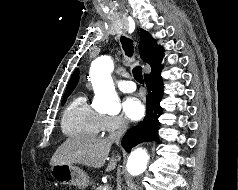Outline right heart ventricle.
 <instances>
[{
	"label": "right heart ventricle",
	"instance_id": "obj_1",
	"mask_svg": "<svg viewBox=\"0 0 238 190\" xmlns=\"http://www.w3.org/2000/svg\"><path fill=\"white\" fill-rule=\"evenodd\" d=\"M103 115L94 110L83 94L76 95L62 117V131L68 136L95 137L102 131Z\"/></svg>",
	"mask_w": 238,
	"mask_h": 190
}]
</instances>
